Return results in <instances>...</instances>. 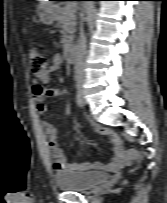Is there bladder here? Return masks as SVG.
<instances>
[{
	"instance_id": "1",
	"label": "bladder",
	"mask_w": 167,
	"mask_h": 203,
	"mask_svg": "<svg viewBox=\"0 0 167 203\" xmlns=\"http://www.w3.org/2000/svg\"><path fill=\"white\" fill-rule=\"evenodd\" d=\"M110 175L102 171L60 170L54 173L57 187L66 191H83L97 184L107 182Z\"/></svg>"
}]
</instances>
